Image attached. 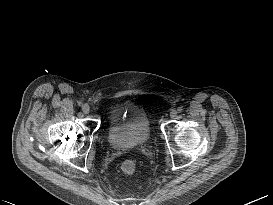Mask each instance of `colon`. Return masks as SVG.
I'll list each match as a JSON object with an SVG mask.
<instances>
[{"mask_svg":"<svg viewBox=\"0 0 273 205\" xmlns=\"http://www.w3.org/2000/svg\"><path fill=\"white\" fill-rule=\"evenodd\" d=\"M135 170H136V164L131 160H127L122 164V171L126 175L133 174Z\"/></svg>","mask_w":273,"mask_h":205,"instance_id":"colon-1","label":"colon"}]
</instances>
